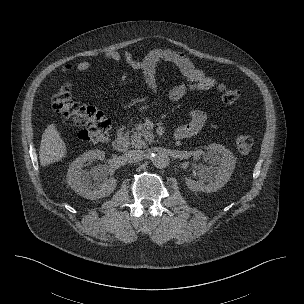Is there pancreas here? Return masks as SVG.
Returning <instances> with one entry per match:
<instances>
[{
	"instance_id": "obj_1",
	"label": "pancreas",
	"mask_w": 304,
	"mask_h": 304,
	"mask_svg": "<svg viewBox=\"0 0 304 304\" xmlns=\"http://www.w3.org/2000/svg\"><path fill=\"white\" fill-rule=\"evenodd\" d=\"M153 140V134L147 131L142 123L136 125L130 136V144L135 148H145L147 143H152Z\"/></svg>"
}]
</instances>
